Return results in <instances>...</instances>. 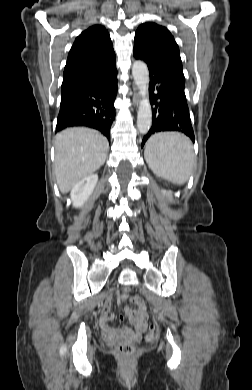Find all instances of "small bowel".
Returning a JSON list of instances; mask_svg holds the SVG:
<instances>
[{"instance_id":"1","label":"small bowel","mask_w":252,"mask_h":390,"mask_svg":"<svg viewBox=\"0 0 252 390\" xmlns=\"http://www.w3.org/2000/svg\"><path fill=\"white\" fill-rule=\"evenodd\" d=\"M116 295L119 297L121 301L126 300L125 295H119L118 293H116ZM112 299H113L112 295L108 296L103 306L102 321L105 325L113 318V313L111 312ZM135 303L138 306L137 310H133L129 306L125 307L124 309L125 314L128 316L130 323L133 326V329H130L128 327H123L120 331L112 332L114 336H118L119 334H123V335L135 334L137 337H140L146 331L147 320H148L146 306L138 298L135 299Z\"/></svg>"}]
</instances>
